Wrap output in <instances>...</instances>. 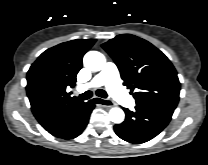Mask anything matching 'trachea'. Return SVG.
Returning <instances> with one entry per match:
<instances>
[{"mask_svg":"<svg viewBox=\"0 0 208 165\" xmlns=\"http://www.w3.org/2000/svg\"><path fill=\"white\" fill-rule=\"evenodd\" d=\"M96 95L102 98H107V93L104 90L98 89L96 91ZM92 97V92L91 91H86L82 94L79 95L80 100H87Z\"/></svg>","mask_w":208,"mask_h":165,"instance_id":"obj_1","label":"trachea"}]
</instances>
